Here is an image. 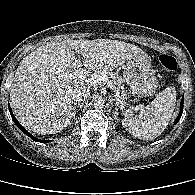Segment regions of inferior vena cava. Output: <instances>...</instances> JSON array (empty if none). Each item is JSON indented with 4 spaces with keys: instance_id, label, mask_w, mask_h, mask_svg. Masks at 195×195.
I'll list each match as a JSON object with an SVG mask.
<instances>
[{
    "instance_id": "obj_1",
    "label": "inferior vena cava",
    "mask_w": 195,
    "mask_h": 195,
    "mask_svg": "<svg viewBox=\"0 0 195 195\" xmlns=\"http://www.w3.org/2000/svg\"><path fill=\"white\" fill-rule=\"evenodd\" d=\"M89 95V89L84 85L77 86L72 92V98L76 102L85 101Z\"/></svg>"
}]
</instances>
